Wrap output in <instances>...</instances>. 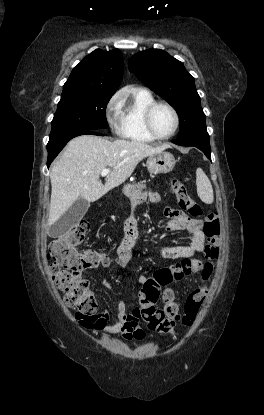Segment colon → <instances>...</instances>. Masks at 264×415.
Returning <instances> with one entry per match:
<instances>
[{
  "label": "colon",
  "instance_id": "5ec220e1",
  "mask_svg": "<svg viewBox=\"0 0 264 415\" xmlns=\"http://www.w3.org/2000/svg\"><path fill=\"white\" fill-rule=\"evenodd\" d=\"M171 188L180 206L194 218L202 217L203 212L192 199L187 188L177 179L171 180ZM89 223L81 220L72 229L61 234L47 249L48 268L56 287L64 293V303L75 311L76 319L86 326L95 324L97 306L96 294L89 282L82 277L88 268L103 265L106 256L95 250H81L89 232ZM203 231L206 238L204 264L201 267V279L204 283L188 295L183 310L175 301L172 291H165L162 298L163 309H157L156 303L161 296V289L174 281L183 279L195 272L199 266L198 259H185L181 263L155 272L147 280L139 293V320L153 331L171 332L177 325L191 326L205 301L208 293L207 283L213 277L216 262L220 254V222L215 212L203 218Z\"/></svg>",
  "mask_w": 264,
  "mask_h": 415
}]
</instances>
